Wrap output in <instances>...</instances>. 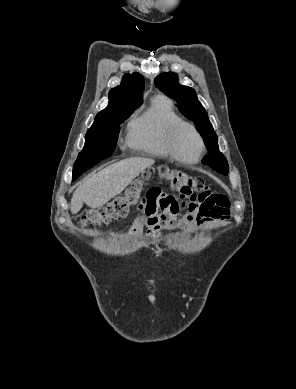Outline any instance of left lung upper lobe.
Segmentation results:
<instances>
[{
	"label": "left lung upper lobe",
	"mask_w": 296,
	"mask_h": 389,
	"mask_svg": "<svg viewBox=\"0 0 296 389\" xmlns=\"http://www.w3.org/2000/svg\"><path fill=\"white\" fill-rule=\"evenodd\" d=\"M155 84L166 95L174 98L180 105L179 111L196 125L208 150V155L203 158L202 163L207 164L221 174L227 175L229 170L227 160L218 151L217 135L208 119L207 112L197 99L195 90L180 85L177 74L172 72L158 75L155 78Z\"/></svg>",
	"instance_id": "left-lung-upper-lobe-1"
}]
</instances>
